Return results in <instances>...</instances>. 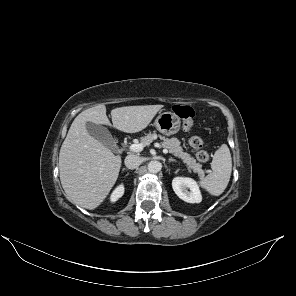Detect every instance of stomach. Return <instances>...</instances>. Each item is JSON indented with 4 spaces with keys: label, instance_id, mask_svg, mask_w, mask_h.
Masks as SVG:
<instances>
[{
    "label": "stomach",
    "instance_id": "1",
    "mask_svg": "<svg viewBox=\"0 0 296 296\" xmlns=\"http://www.w3.org/2000/svg\"><path fill=\"white\" fill-rule=\"evenodd\" d=\"M180 124L179 116L170 111L160 113L154 122L156 129L166 136L176 134L180 130Z\"/></svg>",
    "mask_w": 296,
    "mask_h": 296
}]
</instances>
